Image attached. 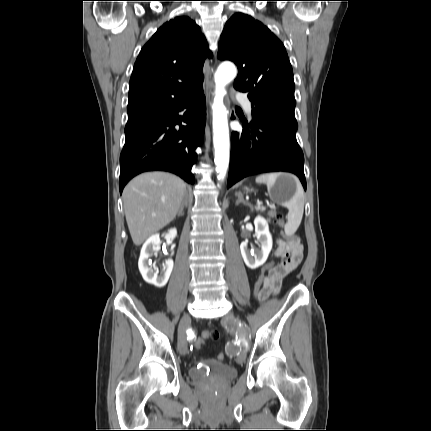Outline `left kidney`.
<instances>
[{"label":"left kidney","mask_w":431,"mask_h":431,"mask_svg":"<svg viewBox=\"0 0 431 431\" xmlns=\"http://www.w3.org/2000/svg\"><path fill=\"white\" fill-rule=\"evenodd\" d=\"M254 225L255 236L260 243L259 248L251 253L248 249V242L245 241L240 244L242 258L246 266L250 269H256L262 266L266 262L272 249V236L269 232L267 221L263 217L257 216L254 220Z\"/></svg>","instance_id":"5707ae66"}]
</instances>
